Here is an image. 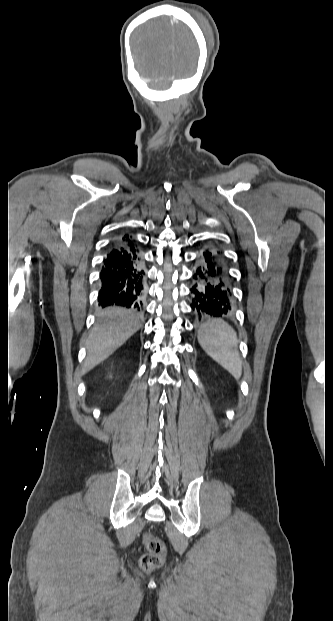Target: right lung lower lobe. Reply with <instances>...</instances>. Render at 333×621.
Wrapping results in <instances>:
<instances>
[{"label":"right lung lower lobe","instance_id":"obj_1","mask_svg":"<svg viewBox=\"0 0 333 621\" xmlns=\"http://www.w3.org/2000/svg\"><path fill=\"white\" fill-rule=\"evenodd\" d=\"M99 305L142 310L146 277L137 245L118 239L110 246L100 273Z\"/></svg>","mask_w":333,"mask_h":621}]
</instances>
